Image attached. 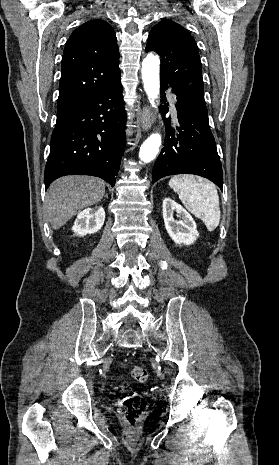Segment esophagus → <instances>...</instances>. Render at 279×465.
<instances>
[{"label":"esophagus","mask_w":279,"mask_h":465,"mask_svg":"<svg viewBox=\"0 0 279 465\" xmlns=\"http://www.w3.org/2000/svg\"><path fill=\"white\" fill-rule=\"evenodd\" d=\"M153 112L151 107L144 106L140 114V125L142 130L147 131L153 124Z\"/></svg>","instance_id":"1"}]
</instances>
